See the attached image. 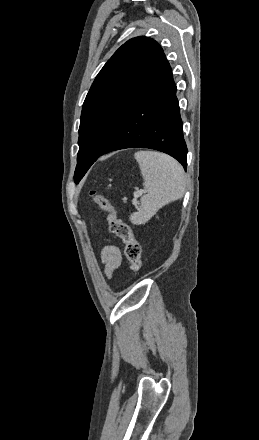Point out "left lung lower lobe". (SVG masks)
Segmentation results:
<instances>
[{
    "instance_id": "1",
    "label": "left lung lower lobe",
    "mask_w": 259,
    "mask_h": 440,
    "mask_svg": "<svg viewBox=\"0 0 259 440\" xmlns=\"http://www.w3.org/2000/svg\"><path fill=\"white\" fill-rule=\"evenodd\" d=\"M125 148H150L167 153L186 170L187 147L176 85L164 53L149 83L99 156Z\"/></svg>"
}]
</instances>
